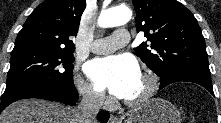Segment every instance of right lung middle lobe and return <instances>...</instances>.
Segmentation results:
<instances>
[{"label": "right lung middle lobe", "mask_w": 221, "mask_h": 123, "mask_svg": "<svg viewBox=\"0 0 221 123\" xmlns=\"http://www.w3.org/2000/svg\"><path fill=\"white\" fill-rule=\"evenodd\" d=\"M71 51L30 48L11 53L7 86L38 82L40 86L73 83Z\"/></svg>", "instance_id": "dd1d6c3e"}]
</instances>
